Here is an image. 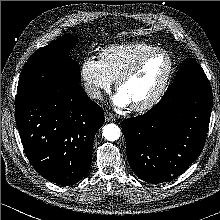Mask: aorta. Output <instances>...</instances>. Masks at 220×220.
Listing matches in <instances>:
<instances>
[{
    "label": "aorta",
    "mask_w": 220,
    "mask_h": 220,
    "mask_svg": "<svg viewBox=\"0 0 220 220\" xmlns=\"http://www.w3.org/2000/svg\"><path fill=\"white\" fill-rule=\"evenodd\" d=\"M120 135V129L116 124H107L103 128V136L108 141H116Z\"/></svg>",
    "instance_id": "aorta-1"
}]
</instances>
